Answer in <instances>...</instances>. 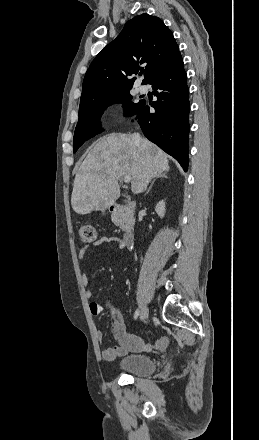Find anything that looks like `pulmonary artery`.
Returning <instances> with one entry per match:
<instances>
[{
    "instance_id": "1",
    "label": "pulmonary artery",
    "mask_w": 259,
    "mask_h": 440,
    "mask_svg": "<svg viewBox=\"0 0 259 440\" xmlns=\"http://www.w3.org/2000/svg\"><path fill=\"white\" fill-rule=\"evenodd\" d=\"M138 90L140 93H145L147 91V88L144 85H140Z\"/></svg>"
}]
</instances>
